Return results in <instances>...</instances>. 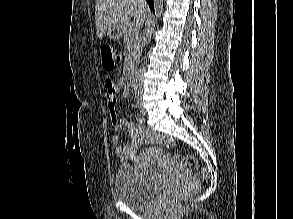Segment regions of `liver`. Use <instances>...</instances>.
Listing matches in <instances>:
<instances>
[{
	"label": "liver",
	"mask_w": 293,
	"mask_h": 219,
	"mask_svg": "<svg viewBox=\"0 0 293 219\" xmlns=\"http://www.w3.org/2000/svg\"><path fill=\"white\" fill-rule=\"evenodd\" d=\"M149 9L145 0H96L95 17L99 38L112 24L127 27L134 16L136 28L142 27Z\"/></svg>",
	"instance_id": "obj_1"
}]
</instances>
